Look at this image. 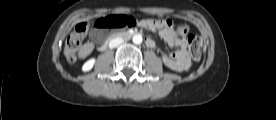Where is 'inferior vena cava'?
<instances>
[{
    "label": "inferior vena cava",
    "instance_id": "obj_1",
    "mask_svg": "<svg viewBox=\"0 0 276 120\" xmlns=\"http://www.w3.org/2000/svg\"><path fill=\"white\" fill-rule=\"evenodd\" d=\"M122 43H123V39L122 38H115V39H113V40L110 41L109 47L110 48H115V47H117L118 45H120Z\"/></svg>",
    "mask_w": 276,
    "mask_h": 120
}]
</instances>
